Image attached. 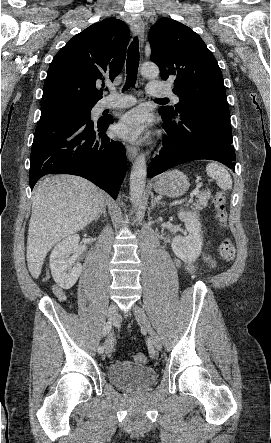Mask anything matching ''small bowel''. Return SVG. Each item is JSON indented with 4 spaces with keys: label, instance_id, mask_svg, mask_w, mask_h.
Here are the masks:
<instances>
[{
    "label": "small bowel",
    "instance_id": "small-bowel-1",
    "mask_svg": "<svg viewBox=\"0 0 271 443\" xmlns=\"http://www.w3.org/2000/svg\"><path fill=\"white\" fill-rule=\"evenodd\" d=\"M207 260H208V262H211L210 259H207ZM177 264L180 265V264H181L180 261H177ZM187 268H188V269H192V266L187 265ZM53 291H54L55 295H56L60 300H64L65 296H64V294H63V292H62V290H61L60 288H58V287H54V288H53Z\"/></svg>",
    "mask_w": 271,
    "mask_h": 443
}]
</instances>
